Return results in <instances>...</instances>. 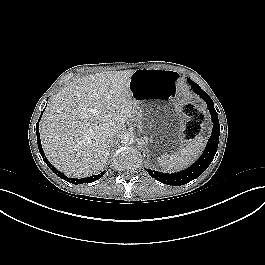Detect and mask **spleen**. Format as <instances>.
<instances>
[{
  "mask_svg": "<svg viewBox=\"0 0 265 265\" xmlns=\"http://www.w3.org/2000/svg\"><path fill=\"white\" fill-rule=\"evenodd\" d=\"M204 146L205 140L196 137L186 147L180 148L172 154L161 155L158 157V162L166 171L183 169L200 155Z\"/></svg>",
  "mask_w": 265,
  "mask_h": 265,
  "instance_id": "obj_1",
  "label": "spleen"
}]
</instances>
